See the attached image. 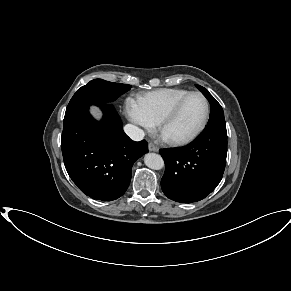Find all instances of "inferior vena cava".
Listing matches in <instances>:
<instances>
[{"mask_svg": "<svg viewBox=\"0 0 291 291\" xmlns=\"http://www.w3.org/2000/svg\"><path fill=\"white\" fill-rule=\"evenodd\" d=\"M124 131L134 141H141L145 135L142 129L132 124L125 125Z\"/></svg>", "mask_w": 291, "mask_h": 291, "instance_id": "602c4592", "label": "inferior vena cava"}]
</instances>
